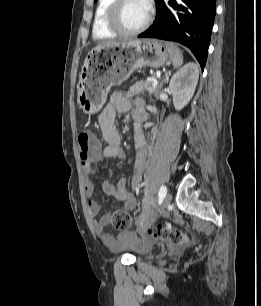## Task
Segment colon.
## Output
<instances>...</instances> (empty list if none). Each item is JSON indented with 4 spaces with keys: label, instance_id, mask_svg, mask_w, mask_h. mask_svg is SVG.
I'll use <instances>...</instances> for the list:
<instances>
[{
    "label": "colon",
    "instance_id": "colon-1",
    "mask_svg": "<svg viewBox=\"0 0 261 306\" xmlns=\"http://www.w3.org/2000/svg\"><path fill=\"white\" fill-rule=\"evenodd\" d=\"M78 144L83 163L98 158L101 144L89 128H84L79 132ZM110 222L117 230H129L132 224L130 214L124 210L112 212ZM147 232L151 237L173 245H185L190 242V235L177 228L154 225L149 227Z\"/></svg>",
    "mask_w": 261,
    "mask_h": 306
}]
</instances>
